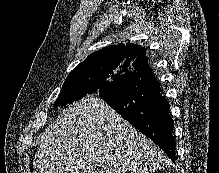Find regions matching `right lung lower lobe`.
I'll return each mask as SVG.
<instances>
[{
  "instance_id": "98d812e1",
  "label": "right lung lower lobe",
  "mask_w": 219,
  "mask_h": 173,
  "mask_svg": "<svg viewBox=\"0 0 219 173\" xmlns=\"http://www.w3.org/2000/svg\"><path fill=\"white\" fill-rule=\"evenodd\" d=\"M99 95L175 163L174 122L169 115V102L161 96L160 82L148 64L127 74L115 90Z\"/></svg>"
}]
</instances>
